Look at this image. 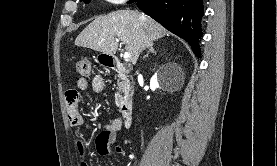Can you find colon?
I'll list each match as a JSON object with an SVG mask.
<instances>
[{
  "label": "colon",
  "mask_w": 277,
  "mask_h": 166,
  "mask_svg": "<svg viewBox=\"0 0 277 166\" xmlns=\"http://www.w3.org/2000/svg\"><path fill=\"white\" fill-rule=\"evenodd\" d=\"M75 68L82 77H88L91 73V62L88 58H81L76 61Z\"/></svg>",
  "instance_id": "5ec220e1"
}]
</instances>
